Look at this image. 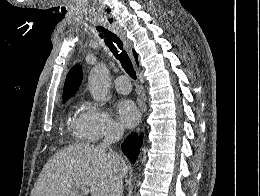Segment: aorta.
Returning a JSON list of instances; mask_svg holds the SVG:
<instances>
[{
	"instance_id": "762f6f07",
	"label": "aorta",
	"mask_w": 260,
	"mask_h": 196,
	"mask_svg": "<svg viewBox=\"0 0 260 196\" xmlns=\"http://www.w3.org/2000/svg\"><path fill=\"white\" fill-rule=\"evenodd\" d=\"M89 91L93 99L104 103L109 99L110 78L109 70L104 63L96 64L90 72L88 78Z\"/></svg>"
}]
</instances>
